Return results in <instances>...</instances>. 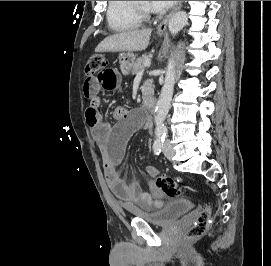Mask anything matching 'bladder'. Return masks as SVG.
<instances>
[{"instance_id":"31cf9c89","label":"bladder","mask_w":271,"mask_h":266,"mask_svg":"<svg viewBox=\"0 0 271 266\" xmlns=\"http://www.w3.org/2000/svg\"><path fill=\"white\" fill-rule=\"evenodd\" d=\"M193 205L192 201L181 199L150 211L131 209L130 214L135 218L145 220L149 224L166 227L180 219Z\"/></svg>"}]
</instances>
